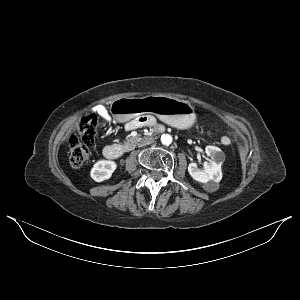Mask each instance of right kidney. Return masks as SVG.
<instances>
[{"label": "right kidney", "instance_id": "right-kidney-1", "mask_svg": "<svg viewBox=\"0 0 300 300\" xmlns=\"http://www.w3.org/2000/svg\"><path fill=\"white\" fill-rule=\"evenodd\" d=\"M117 164L110 160H99L91 169V178L96 182H102L109 179L115 171Z\"/></svg>", "mask_w": 300, "mask_h": 300}]
</instances>
